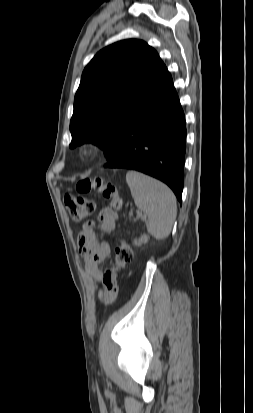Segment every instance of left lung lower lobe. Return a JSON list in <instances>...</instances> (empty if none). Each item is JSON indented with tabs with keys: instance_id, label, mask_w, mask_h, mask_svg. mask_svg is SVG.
I'll return each mask as SVG.
<instances>
[{
	"instance_id": "obj_1",
	"label": "left lung lower lobe",
	"mask_w": 253,
	"mask_h": 413,
	"mask_svg": "<svg viewBox=\"0 0 253 413\" xmlns=\"http://www.w3.org/2000/svg\"><path fill=\"white\" fill-rule=\"evenodd\" d=\"M117 156L104 167L133 169L166 183L181 202L185 116L167 71L140 112L126 123Z\"/></svg>"
}]
</instances>
